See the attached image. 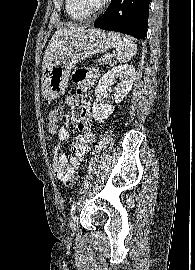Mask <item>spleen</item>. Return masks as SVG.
<instances>
[{
	"label": "spleen",
	"mask_w": 195,
	"mask_h": 270,
	"mask_svg": "<svg viewBox=\"0 0 195 270\" xmlns=\"http://www.w3.org/2000/svg\"><path fill=\"white\" fill-rule=\"evenodd\" d=\"M108 36L116 49V60L120 63L130 61L137 52V47L131 39L116 32H108Z\"/></svg>",
	"instance_id": "spleen-1"
}]
</instances>
